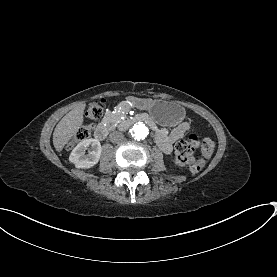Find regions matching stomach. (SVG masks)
Masks as SVG:
<instances>
[{
  "label": "stomach",
  "instance_id": "1",
  "mask_svg": "<svg viewBox=\"0 0 277 277\" xmlns=\"http://www.w3.org/2000/svg\"><path fill=\"white\" fill-rule=\"evenodd\" d=\"M131 102L139 109L148 110L151 117L163 126L174 127L185 117V109L174 102L140 98H131Z\"/></svg>",
  "mask_w": 277,
  "mask_h": 277
}]
</instances>
